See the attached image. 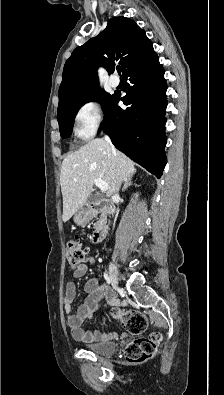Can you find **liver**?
<instances>
[{
  "label": "liver",
  "instance_id": "1",
  "mask_svg": "<svg viewBox=\"0 0 224 395\" xmlns=\"http://www.w3.org/2000/svg\"><path fill=\"white\" fill-rule=\"evenodd\" d=\"M135 172L134 162L101 138L93 139L69 154L62 162L60 174L63 221L67 222L86 204L94 179L108 184L106 196L110 197Z\"/></svg>",
  "mask_w": 224,
  "mask_h": 395
}]
</instances>
